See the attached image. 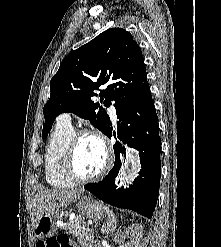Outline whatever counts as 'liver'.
Segmentation results:
<instances>
[{"label":"liver","instance_id":"liver-1","mask_svg":"<svg viewBox=\"0 0 221 247\" xmlns=\"http://www.w3.org/2000/svg\"><path fill=\"white\" fill-rule=\"evenodd\" d=\"M82 193V189H42L34 198L33 223H36L44 213L54 211L75 202Z\"/></svg>","mask_w":221,"mask_h":247}]
</instances>
